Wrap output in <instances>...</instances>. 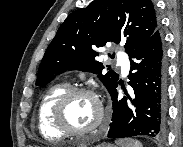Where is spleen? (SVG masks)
I'll use <instances>...</instances> for the list:
<instances>
[{
    "label": "spleen",
    "mask_w": 183,
    "mask_h": 147,
    "mask_svg": "<svg viewBox=\"0 0 183 147\" xmlns=\"http://www.w3.org/2000/svg\"><path fill=\"white\" fill-rule=\"evenodd\" d=\"M116 144L119 147H142L141 142L135 139H123V140H117Z\"/></svg>",
    "instance_id": "1"
}]
</instances>
